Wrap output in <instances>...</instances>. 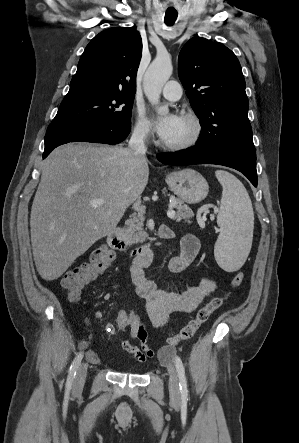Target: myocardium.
Masks as SVG:
<instances>
[{
    "mask_svg": "<svg viewBox=\"0 0 299 443\" xmlns=\"http://www.w3.org/2000/svg\"><path fill=\"white\" fill-rule=\"evenodd\" d=\"M180 118L190 123L192 127L191 135L184 141L170 143L160 141V146L168 151L182 152L196 147L203 138L204 128L201 119L194 113H183Z\"/></svg>",
    "mask_w": 299,
    "mask_h": 443,
    "instance_id": "1",
    "label": "myocardium"
}]
</instances>
